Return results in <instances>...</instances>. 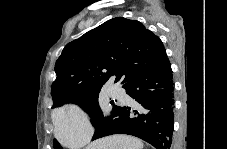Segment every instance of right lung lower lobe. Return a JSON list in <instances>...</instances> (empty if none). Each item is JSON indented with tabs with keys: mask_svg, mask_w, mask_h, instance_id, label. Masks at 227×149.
<instances>
[{
	"mask_svg": "<svg viewBox=\"0 0 227 149\" xmlns=\"http://www.w3.org/2000/svg\"><path fill=\"white\" fill-rule=\"evenodd\" d=\"M137 103L136 108L119 107L95 129L92 140L129 134L157 149H169L174 129V85L169 59L123 86Z\"/></svg>",
	"mask_w": 227,
	"mask_h": 149,
	"instance_id": "1",
	"label": "right lung lower lobe"
}]
</instances>
